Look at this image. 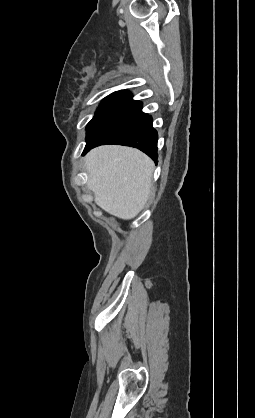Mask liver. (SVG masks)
Returning a JSON list of instances; mask_svg holds the SVG:
<instances>
[{"mask_svg":"<svg viewBox=\"0 0 255 418\" xmlns=\"http://www.w3.org/2000/svg\"><path fill=\"white\" fill-rule=\"evenodd\" d=\"M87 186L95 203L118 218L129 220L144 208L151 191L153 161L141 151L105 145L85 158Z\"/></svg>","mask_w":255,"mask_h":418,"instance_id":"obj_1","label":"liver"}]
</instances>
